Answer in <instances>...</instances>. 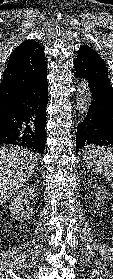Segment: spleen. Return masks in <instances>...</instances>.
<instances>
[{"label":"spleen","instance_id":"obj_1","mask_svg":"<svg viewBox=\"0 0 113 279\" xmlns=\"http://www.w3.org/2000/svg\"><path fill=\"white\" fill-rule=\"evenodd\" d=\"M84 163L88 169L107 178L113 189V149L90 146L84 151Z\"/></svg>","mask_w":113,"mask_h":279}]
</instances>
